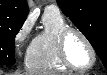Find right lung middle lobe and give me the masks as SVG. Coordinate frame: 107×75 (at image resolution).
<instances>
[{
    "instance_id": "obj_1",
    "label": "right lung middle lobe",
    "mask_w": 107,
    "mask_h": 75,
    "mask_svg": "<svg viewBox=\"0 0 107 75\" xmlns=\"http://www.w3.org/2000/svg\"><path fill=\"white\" fill-rule=\"evenodd\" d=\"M22 25L23 23H17L0 28V64L12 65L15 63L14 40Z\"/></svg>"
}]
</instances>
